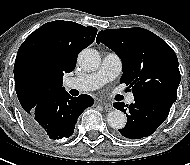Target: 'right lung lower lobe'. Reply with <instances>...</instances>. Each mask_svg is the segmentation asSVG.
<instances>
[{"instance_id": "obj_1", "label": "right lung lower lobe", "mask_w": 190, "mask_h": 165, "mask_svg": "<svg viewBox=\"0 0 190 165\" xmlns=\"http://www.w3.org/2000/svg\"><path fill=\"white\" fill-rule=\"evenodd\" d=\"M93 105L89 95L70 96L65 89L44 95L30 111H22L28 128L42 139L58 140L70 137L78 117Z\"/></svg>"}]
</instances>
